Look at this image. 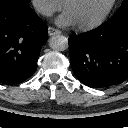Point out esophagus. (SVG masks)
Masks as SVG:
<instances>
[{"label":"esophagus","instance_id":"1","mask_svg":"<svg viewBox=\"0 0 128 128\" xmlns=\"http://www.w3.org/2000/svg\"><path fill=\"white\" fill-rule=\"evenodd\" d=\"M48 34L49 36L58 35L61 34V31L53 27H48Z\"/></svg>","mask_w":128,"mask_h":128}]
</instances>
